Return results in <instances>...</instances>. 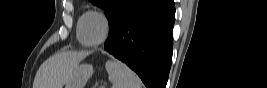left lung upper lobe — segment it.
Instances as JSON below:
<instances>
[{"instance_id":"1","label":"left lung upper lobe","mask_w":267,"mask_h":88,"mask_svg":"<svg viewBox=\"0 0 267 88\" xmlns=\"http://www.w3.org/2000/svg\"><path fill=\"white\" fill-rule=\"evenodd\" d=\"M133 0H90L93 4L104 9L105 15L111 27L124 9Z\"/></svg>"}]
</instances>
